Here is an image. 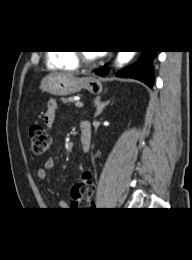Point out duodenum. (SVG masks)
Returning <instances> with one entry per match:
<instances>
[{
  "label": "duodenum",
  "instance_id": "obj_1",
  "mask_svg": "<svg viewBox=\"0 0 192 260\" xmlns=\"http://www.w3.org/2000/svg\"><path fill=\"white\" fill-rule=\"evenodd\" d=\"M81 127V136L80 143L83 152H88L91 147L92 141V128L89 121H82L80 124Z\"/></svg>",
  "mask_w": 192,
  "mask_h": 260
}]
</instances>
